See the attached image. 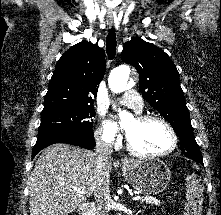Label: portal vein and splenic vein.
I'll use <instances>...</instances> for the list:
<instances>
[{"label":"portal vein and splenic vein","instance_id":"1","mask_svg":"<svg viewBox=\"0 0 221 215\" xmlns=\"http://www.w3.org/2000/svg\"><path fill=\"white\" fill-rule=\"evenodd\" d=\"M75 190V192L77 193V194H85V190L84 189H74ZM142 199V197L141 196H135V197H132V200H141Z\"/></svg>","mask_w":221,"mask_h":215}]
</instances>
